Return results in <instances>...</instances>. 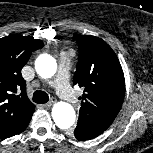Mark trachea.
I'll return each instance as SVG.
<instances>
[{"label": "trachea", "instance_id": "1", "mask_svg": "<svg viewBox=\"0 0 153 153\" xmlns=\"http://www.w3.org/2000/svg\"><path fill=\"white\" fill-rule=\"evenodd\" d=\"M49 100V96L46 92L44 91H35L33 93V101L35 103H38V104H43V103H46L48 102Z\"/></svg>", "mask_w": 153, "mask_h": 153}]
</instances>
